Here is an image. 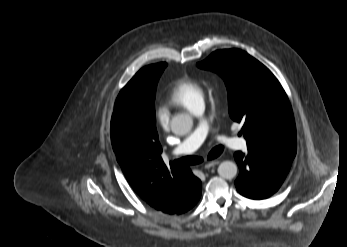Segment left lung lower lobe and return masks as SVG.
Instances as JSON below:
<instances>
[{
	"label": "left lung lower lobe",
	"mask_w": 347,
	"mask_h": 247,
	"mask_svg": "<svg viewBox=\"0 0 347 247\" xmlns=\"http://www.w3.org/2000/svg\"><path fill=\"white\" fill-rule=\"evenodd\" d=\"M234 158L240 170L235 181L238 192L251 199H265L280 188L294 157L248 151L246 155L236 152Z\"/></svg>",
	"instance_id": "left-lung-lower-lobe-1"
}]
</instances>
